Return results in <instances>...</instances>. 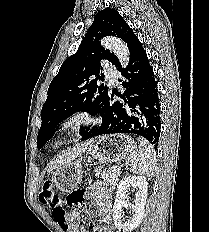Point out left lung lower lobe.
<instances>
[{
	"mask_svg": "<svg viewBox=\"0 0 209 232\" xmlns=\"http://www.w3.org/2000/svg\"><path fill=\"white\" fill-rule=\"evenodd\" d=\"M130 50L129 64L117 68L124 79L119 80L125 91L119 96L124 103L108 100L102 123L91 128L84 139L104 134H137L157 149L160 136V103L154 72L147 54L137 39Z\"/></svg>",
	"mask_w": 209,
	"mask_h": 232,
	"instance_id": "left-lung-lower-lobe-1",
	"label": "left lung lower lobe"
}]
</instances>
